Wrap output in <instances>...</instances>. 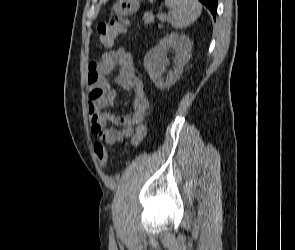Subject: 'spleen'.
<instances>
[{
  "mask_svg": "<svg viewBox=\"0 0 295 250\" xmlns=\"http://www.w3.org/2000/svg\"><path fill=\"white\" fill-rule=\"evenodd\" d=\"M165 4L172 10L171 25L176 29H182L194 23L202 11L198 0H165Z\"/></svg>",
  "mask_w": 295,
  "mask_h": 250,
  "instance_id": "obj_1",
  "label": "spleen"
}]
</instances>
